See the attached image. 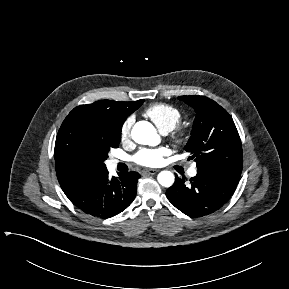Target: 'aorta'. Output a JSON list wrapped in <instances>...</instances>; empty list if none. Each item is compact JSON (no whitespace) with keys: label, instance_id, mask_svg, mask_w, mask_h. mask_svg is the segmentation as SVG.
<instances>
[{"label":"aorta","instance_id":"762f6f07","mask_svg":"<svg viewBox=\"0 0 289 289\" xmlns=\"http://www.w3.org/2000/svg\"><path fill=\"white\" fill-rule=\"evenodd\" d=\"M131 135L138 144L155 146L159 143L155 127L147 121L137 122L132 128ZM157 180L161 186L170 187L173 185L175 177L172 172L164 170L158 174Z\"/></svg>","mask_w":289,"mask_h":289}]
</instances>
